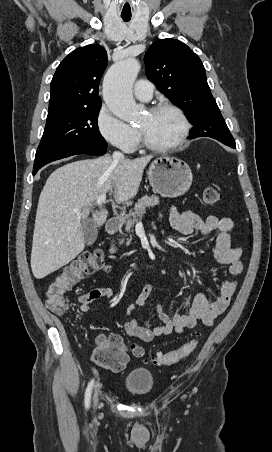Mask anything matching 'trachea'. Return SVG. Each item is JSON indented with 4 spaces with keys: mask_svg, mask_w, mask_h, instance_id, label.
<instances>
[{
    "mask_svg": "<svg viewBox=\"0 0 272 452\" xmlns=\"http://www.w3.org/2000/svg\"><path fill=\"white\" fill-rule=\"evenodd\" d=\"M122 19H123V21L128 22V21H130L131 17H123L122 16Z\"/></svg>",
    "mask_w": 272,
    "mask_h": 452,
    "instance_id": "3493384b",
    "label": "trachea"
}]
</instances>
